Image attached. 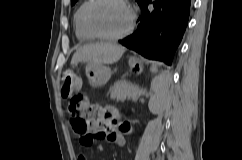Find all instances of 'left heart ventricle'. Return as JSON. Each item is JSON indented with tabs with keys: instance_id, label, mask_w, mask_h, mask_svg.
Wrapping results in <instances>:
<instances>
[{
	"instance_id": "b2bd125f",
	"label": "left heart ventricle",
	"mask_w": 242,
	"mask_h": 160,
	"mask_svg": "<svg viewBox=\"0 0 242 160\" xmlns=\"http://www.w3.org/2000/svg\"><path fill=\"white\" fill-rule=\"evenodd\" d=\"M130 11L120 0H101L91 12V21L101 33L116 35L125 30Z\"/></svg>"
}]
</instances>
